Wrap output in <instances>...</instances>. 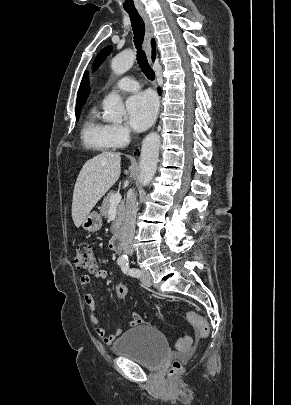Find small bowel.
I'll use <instances>...</instances> for the list:
<instances>
[{
	"label": "small bowel",
	"instance_id": "c3829d8e",
	"mask_svg": "<svg viewBox=\"0 0 291 405\" xmlns=\"http://www.w3.org/2000/svg\"><path fill=\"white\" fill-rule=\"evenodd\" d=\"M94 276L100 280H106L108 277L107 271L100 269L94 273ZM91 282V278L88 275H83L80 278V283L84 288H87ZM84 302L90 310V320L92 325L95 327L96 334L103 339V341L111 345L116 341V339L122 335L123 329L119 328L112 334L108 335L106 329L100 325V318L96 312V302L94 296L90 292H86L84 296ZM144 321L140 315L133 313V319L130 321L129 325L131 327L142 324Z\"/></svg>",
	"mask_w": 291,
	"mask_h": 405
}]
</instances>
